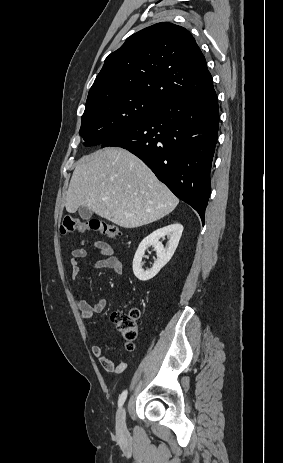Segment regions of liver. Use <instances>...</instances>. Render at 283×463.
<instances>
[{
    "instance_id": "obj_1",
    "label": "liver",
    "mask_w": 283,
    "mask_h": 463,
    "mask_svg": "<svg viewBox=\"0 0 283 463\" xmlns=\"http://www.w3.org/2000/svg\"><path fill=\"white\" fill-rule=\"evenodd\" d=\"M179 199L135 155L108 147L83 156L77 163L65 207L81 206L124 228H137L172 212Z\"/></svg>"
}]
</instances>
